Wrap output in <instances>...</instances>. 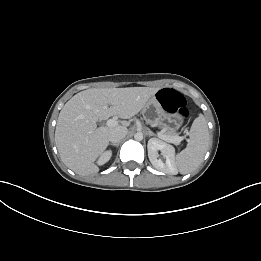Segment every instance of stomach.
Segmentation results:
<instances>
[{
	"instance_id": "obj_1",
	"label": "stomach",
	"mask_w": 261,
	"mask_h": 261,
	"mask_svg": "<svg viewBox=\"0 0 261 261\" xmlns=\"http://www.w3.org/2000/svg\"><path fill=\"white\" fill-rule=\"evenodd\" d=\"M143 115L148 123L162 126L167 130H176L182 124L181 119L172 117L163 110L155 95L144 106Z\"/></svg>"
}]
</instances>
